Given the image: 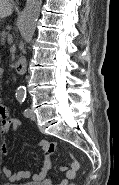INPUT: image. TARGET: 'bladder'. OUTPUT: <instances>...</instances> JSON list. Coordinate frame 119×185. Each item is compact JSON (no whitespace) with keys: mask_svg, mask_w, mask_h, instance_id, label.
I'll list each match as a JSON object with an SVG mask.
<instances>
[{"mask_svg":"<svg viewBox=\"0 0 119 185\" xmlns=\"http://www.w3.org/2000/svg\"><path fill=\"white\" fill-rule=\"evenodd\" d=\"M4 185H43V184L36 183V182H27V183H18V184L7 183V184H4Z\"/></svg>","mask_w":119,"mask_h":185,"instance_id":"1","label":"bladder"}]
</instances>
